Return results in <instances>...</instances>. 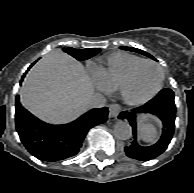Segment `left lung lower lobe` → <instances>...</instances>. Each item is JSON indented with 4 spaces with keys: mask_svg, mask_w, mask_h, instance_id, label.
Returning <instances> with one entry per match:
<instances>
[{
    "mask_svg": "<svg viewBox=\"0 0 194 193\" xmlns=\"http://www.w3.org/2000/svg\"><path fill=\"white\" fill-rule=\"evenodd\" d=\"M137 113H149L155 115L163 122L164 127L162 129V136L156 144L149 147H142L137 143ZM175 113L176 106L174 103V92L171 89L161 90L155 98L143 106L134 109L132 112L120 113L118 118L128 120L133 129L134 140L129 146L125 147L126 155L132 159L147 161L162 154L173 137L175 128Z\"/></svg>",
    "mask_w": 194,
    "mask_h": 193,
    "instance_id": "left-lung-lower-lobe-1",
    "label": "left lung lower lobe"
}]
</instances>
